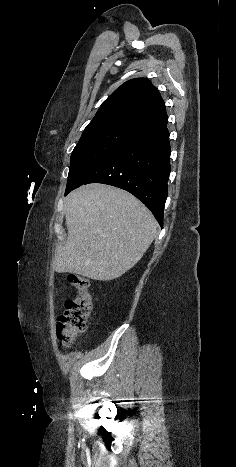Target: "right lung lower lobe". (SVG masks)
Wrapping results in <instances>:
<instances>
[{"mask_svg":"<svg viewBox=\"0 0 236 467\" xmlns=\"http://www.w3.org/2000/svg\"><path fill=\"white\" fill-rule=\"evenodd\" d=\"M168 120L127 140L92 165L65 195L88 183L122 188L141 200L163 225L170 167Z\"/></svg>","mask_w":236,"mask_h":467,"instance_id":"right-lung-lower-lobe-1","label":"right lung lower lobe"}]
</instances>
